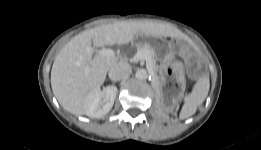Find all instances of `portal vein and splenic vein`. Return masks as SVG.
I'll use <instances>...</instances> for the list:
<instances>
[{"instance_id":"1","label":"portal vein and splenic vein","mask_w":261,"mask_h":150,"mask_svg":"<svg viewBox=\"0 0 261 150\" xmlns=\"http://www.w3.org/2000/svg\"><path fill=\"white\" fill-rule=\"evenodd\" d=\"M98 53L102 56H108V57L115 56V52L112 49H107V48H103V49L99 50ZM134 58L136 60H146L147 64L150 59L147 51L144 49L137 50ZM147 66L149 67V64Z\"/></svg>"}]
</instances>
